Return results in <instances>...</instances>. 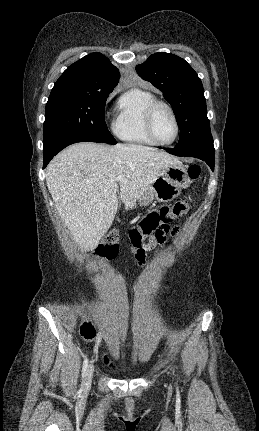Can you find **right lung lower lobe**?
<instances>
[{"label": "right lung lower lobe", "instance_id": "obj_1", "mask_svg": "<svg viewBox=\"0 0 259 431\" xmlns=\"http://www.w3.org/2000/svg\"><path fill=\"white\" fill-rule=\"evenodd\" d=\"M86 141L96 142L90 137L82 136L79 134H67V135H60L50 140L49 142L45 143L43 148V155H44L43 168L47 166V164L50 162L53 156H55L58 152H60L68 145H71L77 142H86Z\"/></svg>", "mask_w": 259, "mask_h": 431}]
</instances>
